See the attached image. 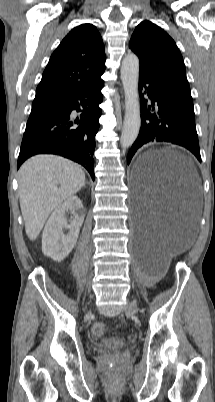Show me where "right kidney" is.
<instances>
[{
    "label": "right kidney",
    "mask_w": 215,
    "mask_h": 402,
    "mask_svg": "<svg viewBox=\"0 0 215 402\" xmlns=\"http://www.w3.org/2000/svg\"><path fill=\"white\" fill-rule=\"evenodd\" d=\"M72 214L68 224L65 214ZM83 205L77 196H71L57 206L47 221L42 234V251L54 261L64 260L74 248L84 221ZM68 229L63 234V229Z\"/></svg>",
    "instance_id": "ca27d5eb"
}]
</instances>
